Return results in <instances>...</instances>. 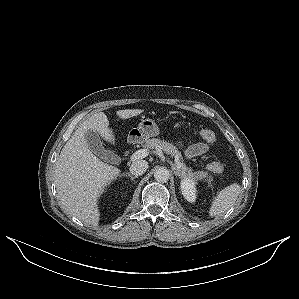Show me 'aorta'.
<instances>
[{
	"instance_id": "aorta-1",
	"label": "aorta",
	"mask_w": 299,
	"mask_h": 299,
	"mask_svg": "<svg viewBox=\"0 0 299 299\" xmlns=\"http://www.w3.org/2000/svg\"><path fill=\"white\" fill-rule=\"evenodd\" d=\"M154 178L158 182H166L170 178V172L166 167H158L154 172Z\"/></svg>"
}]
</instances>
